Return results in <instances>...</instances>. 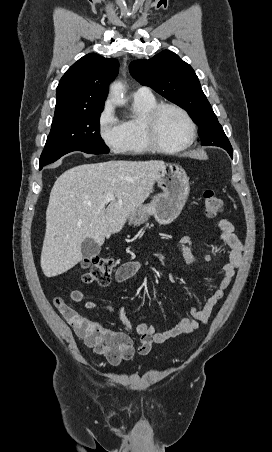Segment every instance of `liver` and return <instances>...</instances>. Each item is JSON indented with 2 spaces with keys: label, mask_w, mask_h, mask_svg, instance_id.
I'll return each instance as SVG.
<instances>
[{
  "label": "liver",
  "mask_w": 272,
  "mask_h": 452,
  "mask_svg": "<svg viewBox=\"0 0 272 452\" xmlns=\"http://www.w3.org/2000/svg\"><path fill=\"white\" fill-rule=\"evenodd\" d=\"M163 161H123L83 164L55 181L46 210L41 268L47 277L60 275L83 257L85 238L101 246L118 233L129 215L148 198ZM115 200L106 207L105 196Z\"/></svg>",
  "instance_id": "1"
}]
</instances>
